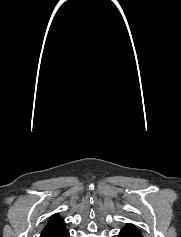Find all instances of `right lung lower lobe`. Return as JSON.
<instances>
[{"label":"right lung lower lobe","mask_w":181,"mask_h":237,"mask_svg":"<svg viewBox=\"0 0 181 237\" xmlns=\"http://www.w3.org/2000/svg\"><path fill=\"white\" fill-rule=\"evenodd\" d=\"M62 237H70V234L67 232V233L64 234Z\"/></svg>","instance_id":"1"}]
</instances>
